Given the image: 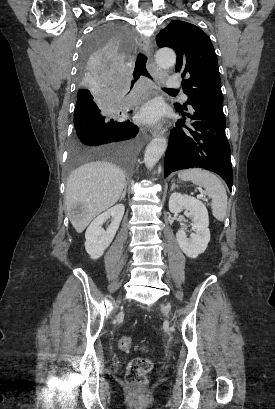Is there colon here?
I'll use <instances>...</instances> for the list:
<instances>
[{
	"label": "colon",
	"mask_w": 275,
	"mask_h": 409,
	"mask_svg": "<svg viewBox=\"0 0 275 409\" xmlns=\"http://www.w3.org/2000/svg\"><path fill=\"white\" fill-rule=\"evenodd\" d=\"M118 345L123 350H129L133 347L134 342L130 336H122L119 338ZM152 367V360L148 357L143 356L132 359L126 371L128 384L132 386H144Z\"/></svg>",
	"instance_id": "obj_1"
}]
</instances>
